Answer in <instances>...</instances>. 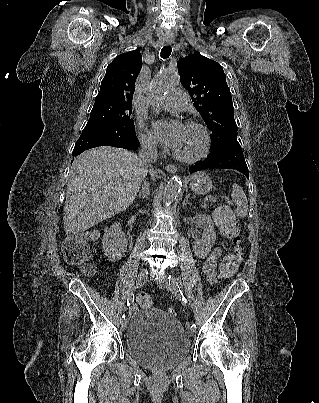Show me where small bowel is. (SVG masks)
Returning <instances> with one entry per match:
<instances>
[{
  "instance_id": "obj_1",
  "label": "small bowel",
  "mask_w": 319,
  "mask_h": 403,
  "mask_svg": "<svg viewBox=\"0 0 319 403\" xmlns=\"http://www.w3.org/2000/svg\"><path fill=\"white\" fill-rule=\"evenodd\" d=\"M223 250L221 247H215L211 254L205 259L202 270L210 283H215L217 281V271H218V260L221 257ZM230 277L232 275L223 276Z\"/></svg>"
}]
</instances>
